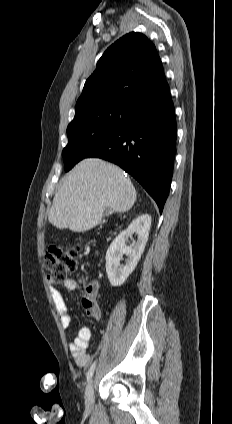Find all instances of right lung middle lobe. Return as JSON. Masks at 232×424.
I'll use <instances>...</instances> for the list:
<instances>
[{
	"instance_id": "right-lung-middle-lobe-1",
	"label": "right lung middle lobe",
	"mask_w": 232,
	"mask_h": 424,
	"mask_svg": "<svg viewBox=\"0 0 232 424\" xmlns=\"http://www.w3.org/2000/svg\"><path fill=\"white\" fill-rule=\"evenodd\" d=\"M131 105L104 104L87 108L77 114L67 127L68 144L62 155L65 171L86 158L128 120Z\"/></svg>"
}]
</instances>
